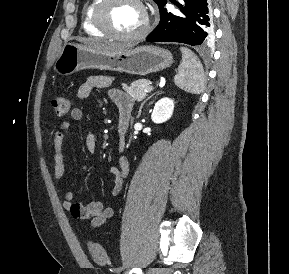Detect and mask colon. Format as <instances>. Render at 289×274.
<instances>
[{"label": "colon", "mask_w": 289, "mask_h": 274, "mask_svg": "<svg viewBox=\"0 0 289 274\" xmlns=\"http://www.w3.org/2000/svg\"><path fill=\"white\" fill-rule=\"evenodd\" d=\"M52 107L55 114L59 117L65 116L71 109V101L68 97L58 96L52 102ZM89 251L94 261L98 264H106L108 256L101 245L95 242L89 243Z\"/></svg>", "instance_id": "obj_1"}]
</instances>
